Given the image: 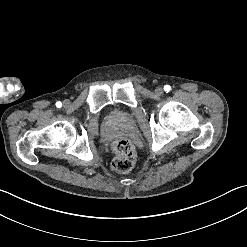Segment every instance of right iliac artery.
Here are the masks:
<instances>
[{
	"instance_id": "1",
	"label": "right iliac artery",
	"mask_w": 247,
	"mask_h": 247,
	"mask_svg": "<svg viewBox=\"0 0 247 247\" xmlns=\"http://www.w3.org/2000/svg\"><path fill=\"white\" fill-rule=\"evenodd\" d=\"M61 106H62V103H61L60 101H58V102L56 103V107H57V108H61Z\"/></svg>"
}]
</instances>
